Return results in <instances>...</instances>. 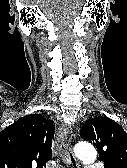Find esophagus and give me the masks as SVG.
I'll return each instance as SVG.
<instances>
[{"instance_id": "1", "label": "esophagus", "mask_w": 127, "mask_h": 168, "mask_svg": "<svg viewBox=\"0 0 127 168\" xmlns=\"http://www.w3.org/2000/svg\"><path fill=\"white\" fill-rule=\"evenodd\" d=\"M69 133V125L62 123L59 126L56 134L57 150L59 155L63 158V160H65L70 165V168H80L69 145Z\"/></svg>"}]
</instances>
